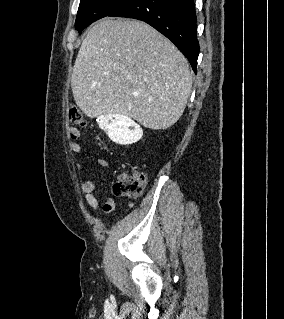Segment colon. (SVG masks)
<instances>
[{"label":"colon","instance_id":"colon-1","mask_svg":"<svg viewBox=\"0 0 284 319\" xmlns=\"http://www.w3.org/2000/svg\"><path fill=\"white\" fill-rule=\"evenodd\" d=\"M68 117L72 125L84 126L86 124L82 112L75 106L70 107ZM145 185V175L142 172L136 171L132 174H120L113 184V191L116 195L135 199L141 196Z\"/></svg>","mask_w":284,"mask_h":319}]
</instances>
